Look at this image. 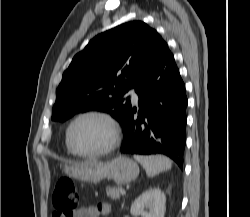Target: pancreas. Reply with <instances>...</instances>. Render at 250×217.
Instances as JSON below:
<instances>
[{"label": "pancreas", "mask_w": 250, "mask_h": 217, "mask_svg": "<svg viewBox=\"0 0 250 217\" xmlns=\"http://www.w3.org/2000/svg\"><path fill=\"white\" fill-rule=\"evenodd\" d=\"M122 187H107L106 194L109 198L117 200L120 198Z\"/></svg>", "instance_id": "pancreas-1"}]
</instances>
